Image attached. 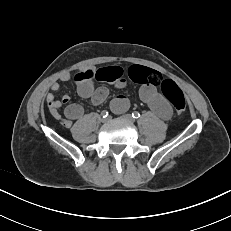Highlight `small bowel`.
<instances>
[{
  "label": "small bowel",
  "mask_w": 231,
  "mask_h": 231,
  "mask_svg": "<svg viewBox=\"0 0 231 231\" xmlns=\"http://www.w3.org/2000/svg\"><path fill=\"white\" fill-rule=\"evenodd\" d=\"M130 71L126 73L119 66L94 68L87 67L83 69L77 76L78 85L77 92L80 97L90 99L92 104L99 105L103 103L109 94L106 87H95V81L109 82L116 87H123L126 82V77ZM71 74L65 72L60 75L59 80L62 82L69 81ZM51 92L46 95V102L50 114L65 128H70L73 121L80 119L83 116L84 110L82 106L70 103V97L67 94L62 95L61 100H56L54 92L60 89L59 81H54L50 85ZM141 100L148 105L154 114L162 119H169L172 116V108L166 99L164 93H161L157 88L150 84H142L139 89ZM65 105L64 115L62 116L59 109ZM129 108L128 99L125 96H118L111 102L113 112L119 114Z\"/></svg>",
  "instance_id": "small-bowel-1"
}]
</instances>
